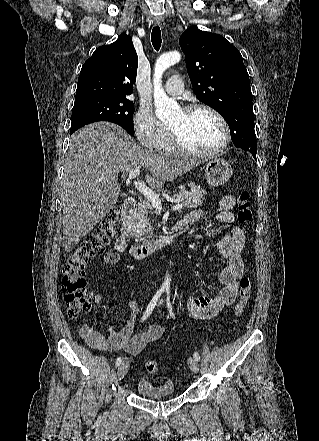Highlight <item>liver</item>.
<instances>
[{"mask_svg": "<svg viewBox=\"0 0 319 441\" xmlns=\"http://www.w3.org/2000/svg\"><path fill=\"white\" fill-rule=\"evenodd\" d=\"M200 165L193 159L160 155L136 144L120 126L109 122L86 125L70 137L61 181L64 252L71 251L118 201V174L145 168L146 182L161 188Z\"/></svg>", "mask_w": 319, "mask_h": 441, "instance_id": "liver-1", "label": "liver"}]
</instances>
